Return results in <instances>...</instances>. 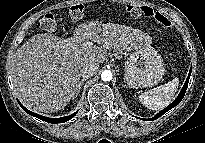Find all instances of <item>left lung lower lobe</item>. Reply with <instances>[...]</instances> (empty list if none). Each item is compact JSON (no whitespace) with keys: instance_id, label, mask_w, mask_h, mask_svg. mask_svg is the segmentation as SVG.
<instances>
[{"instance_id":"0a47b994","label":"left lung lower lobe","mask_w":205,"mask_h":143,"mask_svg":"<svg viewBox=\"0 0 205 143\" xmlns=\"http://www.w3.org/2000/svg\"><path fill=\"white\" fill-rule=\"evenodd\" d=\"M190 75H191V69H190V72H189V75L186 79V82L180 92V94L178 95V97L168 106L166 107L165 109H163L162 111H160L156 116H154L153 118H150L149 120H155L157 118H159L160 116H162L164 113H166L167 111H169L170 109L174 108L177 104L180 103V101L183 99L184 95H185V92H186V89H187V86H188V82H189V78H190Z\"/></svg>"}]
</instances>
